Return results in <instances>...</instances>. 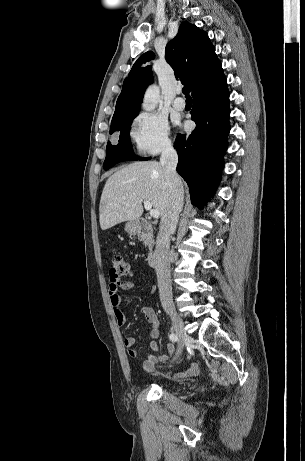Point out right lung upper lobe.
I'll use <instances>...</instances> for the list:
<instances>
[{"instance_id":"right-lung-upper-lobe-1","label":"right lung upper lobe","mask_w":305,"mask_h":461,"mask_svg":"<svg viewBox=\"0 0 305 461\" xmlns=\"http://www.w3.org/2000/svg\"><path fill=\"white\" fill-rule=\"evenodd\" d=\"M151 59H154L152 52L141 55L125 78L111 128L122 120L138 115L144 92L153 82L152 68L147 65ZM165 59L182 84L190 86L192 94L223 72L208 35L188 22L180 25L176 37L166 45Z\"/></svg>"}]
</instances>
